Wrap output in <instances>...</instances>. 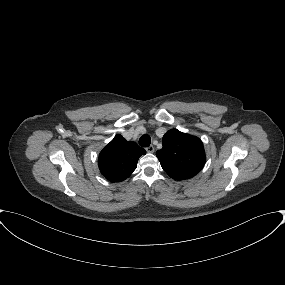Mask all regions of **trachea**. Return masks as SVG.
<instances>
[{
	"mask_svg": "<svg viewBox=\"0 0 285 285\" xmlns=\"http://www.w3.org/2000/svg\"><path fill=\"white\" fill-rule=\"evenodd\" d=\"M151 143V138L149 135L144 134L139 139V145L142 147H148Z\"/></svg>",
	"mask_w": 285,
	"mask_h": 285,
	"instance_id": "trachea-1",
	"label": "trachea"
}]
</instances>
